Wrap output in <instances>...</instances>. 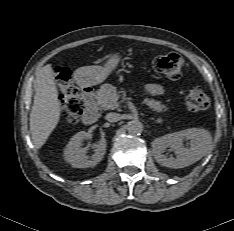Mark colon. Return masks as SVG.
Returning a JSON list of instances; mask_svg holds the SVG:
<instances>
[{"label": "colon", "mask_w": 234, "mask_h": 231, "mask_svg": "<svg viewBox=\"0 0 234 231\" xmlns=\"http://www.w3.org/2000/svg\"><path fill=\"white\" fill-rule=\"evenodd\" d=\"M183 66L184 59L177 53H169L154 61L155 70L164 74L169 80H178L182 75ZM56 75L62 116L69 125H76L80 122L84 110L82 99L77 88L71 83L70 71L67 68H57ZM185 104L190 111H202L209 106V99L200 87L194 86L187 94Z\"/></svg>", "instance_id": "obj_1"}]
</instances>
